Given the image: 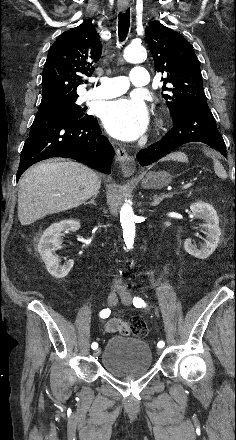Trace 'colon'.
<instances>
[{
	"label": "colon",
	"instance_id": "colon-1",
	"mask_svg": "<svg viewBox=\"0 0 236 440\" xmlns=\"http://www.w3.org/2000/svg\"><path fill=\"white\" fill-rule=\"evenodd\" d=\"M131 328L129 334H132L136 337H145L148 334V328L145 320L140 316H135L131 319Z\"/></svg>",
	"mask_w": 236,
	"mask_h": 440
}]
</instances>
